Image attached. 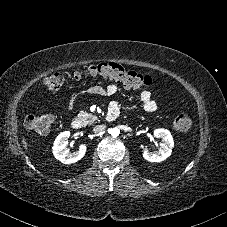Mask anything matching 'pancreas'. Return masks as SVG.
<instances>
[{
	"mask_svg": "<svg viewBox=\"0 0 227 227\" xmlns=\"http://www.w3.org/2000/svg\"><path fill=\"white\" fill-rule=\"evenodd\" d=\"M78 118L82 119L85 124H92L97 120V117L91 113H87L86 111H80L78 114Z\"/></svg>",
	"mask_w": 227,
	"mask_h": 227,
	"instance_id": "cf45deb5",
	"label": "pancreas"
}]
</instances>
